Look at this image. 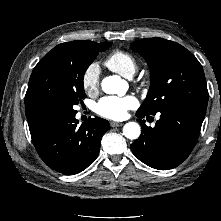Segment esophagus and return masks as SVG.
<instances>
[{"mask_svg":"<svg viewBox=\"0 0 221 221\" xmlns=\"http://www.w3.org/2000/svg\"><path fill=\"white\" fill-rule=\"evenodd\" d=\"M124 123L122 122H111L110 125L111 127H120L122 126Z\"/></svg>","mask_w":221,"mask_h":221,"instance_id":"obj_1","label":"esophagus"}]
</instances>
